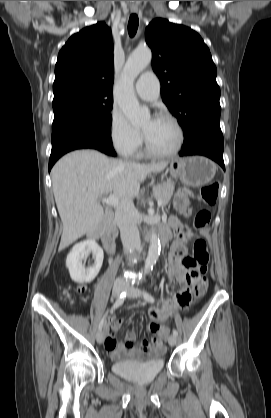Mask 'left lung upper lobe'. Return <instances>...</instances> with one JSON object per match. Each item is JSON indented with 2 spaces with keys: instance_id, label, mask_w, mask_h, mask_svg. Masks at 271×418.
Segmentation results:
<instances>
[{
  "instance_id": "1",
  "label": "left lung upper lobe",
  "mask_w": 271,
  "mask_h": 418,
  "mask_svg": "<svg viewBox=\"0 0 271 418\" xmlns=\"http://www.w3.org/2000/svg\"><path fill=\"white\" fill-rule=\"evenodd\" d=\"M145 38L152 49L162 99L185 136L196 126L219 124L217 70L200 35L189 27L157 18L147 26Z\"/></svg>"
}]
</instances>
